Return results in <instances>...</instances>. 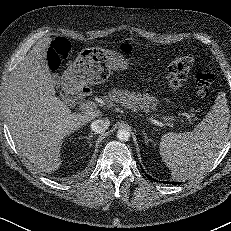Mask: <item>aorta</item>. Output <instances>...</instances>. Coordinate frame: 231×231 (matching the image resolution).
<instances>
[{"label":"aorta","mask_w":231,"mask_h":231,"mask_svg":"<svg viewBox=\"0 0 231 231\" xmlns=\"http://www.w3.org/2000/svg\"><path fill=\"white\" fill-rule=\"evenodd\" d=\"M117 138L120 141H128L130 138V132L127 129L121 128L117 131Z\"/></svg>","instance_id":"762f6f07"}]
</instances>
